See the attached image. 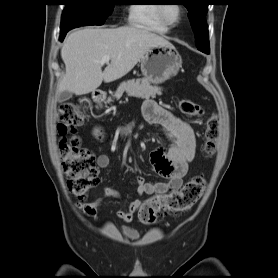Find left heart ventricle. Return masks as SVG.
Here are the masks:
<instances>
[{
    "label": "left heart ventricle",
    "mask_w": 278,
    "mask_h": 278,
    "mask_svg": "<svg viewBox=\"0 0 278 278\" xmlns=\"http://www.w3.org/2000/svg\"><path fill=\"white\" fill-rule=\"evenodd\" d=\"M166 15L169 20L176 21L180 15V11L177 5H168L166 8Z\"/></svg>",
    "instance_id": "obj_1"
}]
</instances>
